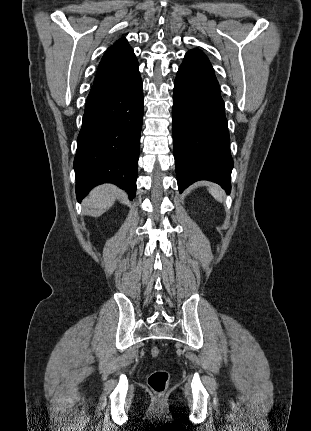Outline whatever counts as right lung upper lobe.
Returning a JSON list of instances; mask_svg holds the SVG:
<instances>
[{
	"label": "right lung upper lobe",
	"mask_w": 311,
	"mask_h": 431,
	"mask_svg": "<svg viewBox=\"0 0 311 431\" xmlns=\"http://www.w3.org/2000/svg\"><path fill=\"white\" fill-rule=\"evenodd\" d=\"M138 65L133 49L125 38L119 39L105 52L99 63L94 83L126 74Z\"/></svg>",
	"instance_id": "1"
}]
</instances>
